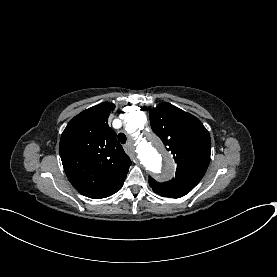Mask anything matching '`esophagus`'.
<instances>
[{"label":"esophagus","instance_id":"1","mask_svg":"<svg viewBox=\"0 0 277 277\" xmlns=\"http://www.w3.org/2000/svg\"><path fill=\"white\" fill-rule=\"evenodd\" d=\"M131 145H132V142L129 140V141L125 144V147H129V146H131ZM134 161H135L136 163H138V160H137L136 157H134Z\"/></svg>","mask_w":277,"mask_h":277}]
</instances>
